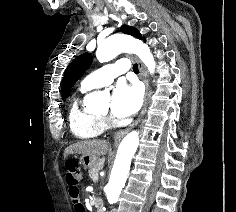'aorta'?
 Segmentation results:
<instances>
[{"mask_svg":"<svg viewBox=\"0 0 236 212\" xmlns=\"http://www.w3.org/2000/svg\"><path fill=\"white\" fill-rule=\"evenodd\" d=\"M122 52L136 54L145 64L150 73H154L155 60L146 44L129 35L115 34L108 37L98 46L96 57L100 62H108ZM109 96L103 92H92L85 97V105L88 108L99 106ZM139 145V133L131 131L121 141L116 159L111 171L108 184L105 186V194L109 204L117 203L122 189L125 186L129 174L132 157Z\"/></svg>","mask_w":236,"mask_h":212,"instance_id":"obj_1","label":"aorta"}]
</instances>
